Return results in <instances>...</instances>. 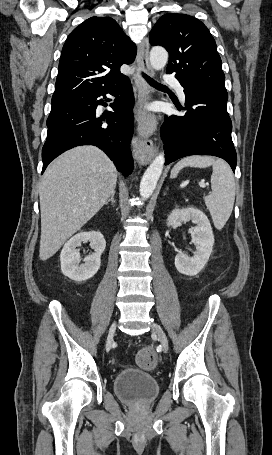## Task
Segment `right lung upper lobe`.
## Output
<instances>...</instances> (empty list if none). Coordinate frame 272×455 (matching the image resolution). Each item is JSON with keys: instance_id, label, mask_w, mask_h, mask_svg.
<instances>
[{"instance_id": "cb5924a9", "label": "right lung upper lobe", "mask_w": 272, "mask_h": 455, "mask_svg": "<svg viewBox=\"0 0 272 455\" xmlns=\"http://www.w3.org/2000/svg\"><path fill=\"white\" fill-rule=\"evenodd\" d=\"M135 56V44L114 19L85 20L63 46L52 105L120 84L127 79L120 66Z\"/></svg>"}]
</instances>
